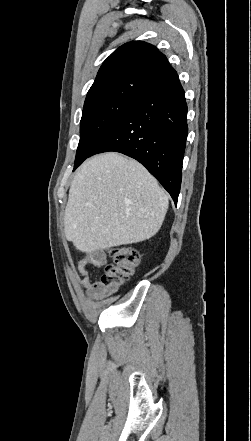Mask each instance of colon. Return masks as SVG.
<instances>
[{
    "mask_svg": "<svg viewBox=\"0 0 251 441\" xmlns=\"http://www.w3.org/2000/svg\"><path fill=\"white\" fill-rule=\"evenodd\" d=\"M111 262L105 266L101 283L106 286H119L127 282L135 273L139 261V252L127 245L110 249Z\"/></svg>",
    "mask_w": 251,
    "mask_h": 441,
    "instance_id": "1",
    "label": "colon"
}]
</instances>
